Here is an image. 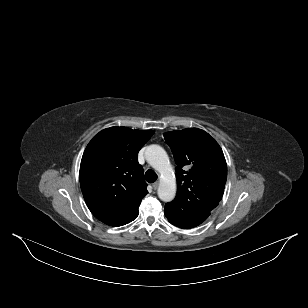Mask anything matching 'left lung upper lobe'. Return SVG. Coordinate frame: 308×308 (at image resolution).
<instances>
[{
  "mask_svg": "<svg viewBox=\"0 0 308 308\" xmlns=\"http://www.w3.org/2000/svg\"><path fill=\"white\" fill-rule=\"evenodd\" d=\"M176 167V198L165 205V216L187 220L211 212L222 199L227 164L219 144L207 132L187 128L164 134Z\"/></svg>",
  "mask_w": 308,
  "mask_h": 308,
  "instance_id": "1",
  "label": "left lung upper lobe"
}]
</instances>
